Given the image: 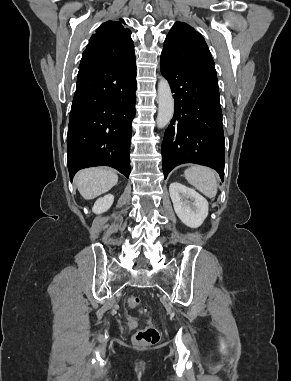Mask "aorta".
Masks as SVG:
<instances>
[{
	"label": "aorta",
	"mask_w": 291,
	"mask_h": 381,
	"mask_svg": "<svg viewBox=\"0 0 291 381\" xmlns=\"http://www.w3.org/2000/svg\"><path fill=\"white\" fill-rule=\"evenodd\" d=\"M174 114V99L168 81L161 77L158 83V115L156 118L157 127L167 126Z\"/></svg>",
	"instance_id": "aorta-1"
}]
</instances>
